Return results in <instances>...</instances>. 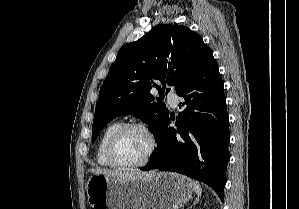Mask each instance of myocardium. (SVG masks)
Listing matches in <instances>:
<instances>
[{
    "mask_svg": "<svg viewBox=\"0 0 299 209\" xmlns=\"http://www.w3.org/2000/svg\"><path fill=\"white\" fill-rule=\"evenodd\" d=\"M129 129H136V130L141 131L146 136L149 146H148L145 156L138 162L131 163V164H120V163H117L114 159V146H115V143H116V140L118 139V137L124 131L129 130ZM156 148H157L156 137H155L154 133L152 132V130L147 125L140 123V122H127V123L121 124L110 136L108 143H107V147H106V158H107V161H108L110 167H112L114 169H118V170L135 169V168H140V167L146 165L150 161L152 156L154 155Z\"/></svg>",
    "mask_w": 299,
    "mask_h": 209,
    "instance_id": "obj_1",
    "label": "myocardium"
}]
</instances>
